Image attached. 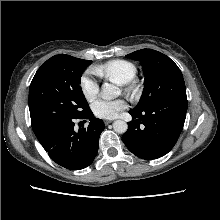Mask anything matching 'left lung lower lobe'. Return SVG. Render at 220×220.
I'll return each mask as SVG.
<instances>
[{"instance_id":"left-lung-lower-lobe-1","label":"left lung lower lobe","mask_w":220,"mask_h":220,"mask_svg":"<svg viewBox=\"0 0 220 220\" xmlns=\"http://www.w3.org/2000/svg\"><path fill=\"white\" fill-rule=\"evenodd\" d=\"M187 106V97H177L160 101L141 113L129 111L133 120L128 122V130L122 136L124 144L142 159L164 156L181 134Z\"/></svg>"}]
</instances>
